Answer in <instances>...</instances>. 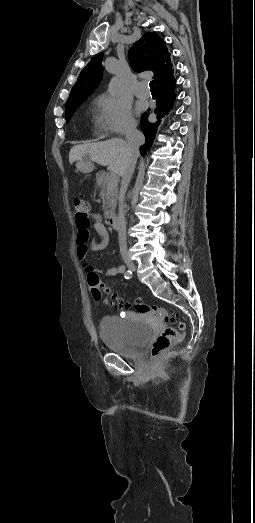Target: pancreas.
I'll list each match as a JSON object with an SVG mask.
<instances>
[{
  "label": "pancreas",
  "mask_w": 255,
  "mask_h": 523,
  "mask_svg": "<svg viewBox=\"0 0 255 523\" xmlns=\"http://www.w3.org/2000/svg\"><path fill=\"white\" fill-rule=\"evenodd\" d=\"M96 180L98 188L101 190L100 196L103 202L104 216H111V214H114L117 204L119 178L116 174L98 172Z\"/></svg>",
  "instance_id": "pancreas-1"
}]
</instances>
